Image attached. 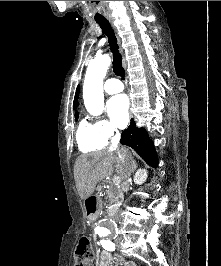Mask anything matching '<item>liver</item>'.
Instances as JSON below:
<instances>
[{"label": "liver", "mask_w": 221, "mask_h": 266, "mask_svg": "<svg viewBox=\"0 0 221 266\" xmlns=\"http://www.w3.org/2000/svg\"><path fill=\"white\" fill-rule=\"evenodd\" d=\"M124 149L131 155L128 149ZM114 168L118 176L124 179L125 167L117 150L104 149L79 156L74 165V179L80 198L86 200L99 181L113 174Z\"/></svg>", "instance_id": "6515ba94"}]
</instances>
